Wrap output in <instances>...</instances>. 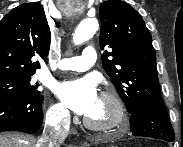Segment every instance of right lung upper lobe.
<instances>
[{
	"mask_svg": "<svg viewBox=\"0 0 183 147\" xmlns=\"http://www.w3.org/2000/svg\"><path fill=\"white\" fill-rule=\"evenodd\" d=\"M50 37L39 3H24L10 11L0 21V79L34 74L40 65L32 58L46 60Z\"/></svg>",
	"mask_w": 183,
	"mask_h": 147,
	"instance_id": "cb5924a9",
	"label": "right lung upper lobe"
}]
</instances>
